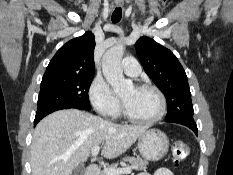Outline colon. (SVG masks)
Segmentation results:
<instances>
[{
	"label": "colon",
	"instance_id": "obj_1",
	"mask_svg": "<svg viewBox=\"0 0 233 175\" xmlns=\"http://www.w3.org/2000/svg\"><path fill=\"white\" fill-rule=\"evenodd\" d=\"M189 145L181 140H177L172 145V154L174 162L177 165L182 159H184L189 154Z\"/></svg>",
	"mask_w": 233,
	"mask_h": 175
}]
</instances>
